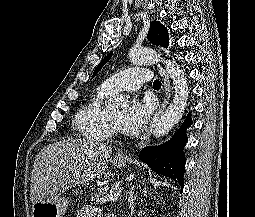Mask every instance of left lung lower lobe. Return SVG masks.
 <instances>
[{
    "instance_id": "1",
    "label": "left lung lower lobe",
    "mask_w": 255,
    "mask_h": 217,
    "mask_svg": "<svg viewBox=\"0 0 255 217\" xmlns=\"http://www.w3.org/2000/svg\"><path fill=\"white\" fill-rule=\"evenodd\" d=\"M191 124V113H189L168 142L158 147L143 148L139 155L140 160L154 172L173 179L181 188L184 187L183 175L186 163L183 148L187 143L186 130Z\"/></svg>"
}]
</instances>
